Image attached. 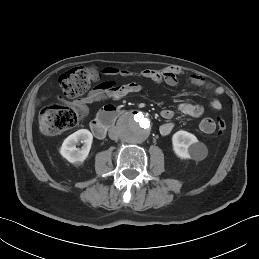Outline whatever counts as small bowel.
Masks as SVG:
<instances>
[{"label":"small bowel","instance_id":"obj_1","mask_svg":"<svg viewBox=\"0 0 259 259\" xmlns=\"http://www.w3.org/2000/svg\"><path fill=\"white\" fill-rule=\"evenodd\" d=\"M103 73L108 76H121L126 78L138 76L156 84L164 83L168 86L174 87L178 84L179 77L185 74V70L180 66H170L161 70L147 69L135 74L123 68L108 66L103 69ZM190 81L196 86L204 87L213 92L215 98L210 101V108L212 110L219 111L222 108V104L218 99V97H220L224 92L222 87L213 86L203 77L198 75H191ZM141 89L142 86L137 82L118 84L113 80H106L93 87L82 98L70 102V104L72 107L77 109L82 116H86L89 113L88 106L92 103L105 100H119L127 95L135 94ZM178 110L182 114L194 118L201 117L205 112L202 105L189 102L180 103L178 105ZM174 116L175 113L171 109H163L161 111V117L167 121L160 127V133L162 135H168L172 132L174 128L172 119ZM199 129L204 134L209 135L215 131L216 124L213 119L206 117L200 121Z\"/></svg>","mask_w":259,"mask_h":259}]
</instances>
